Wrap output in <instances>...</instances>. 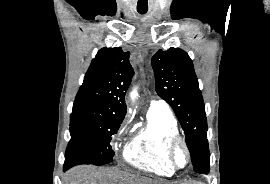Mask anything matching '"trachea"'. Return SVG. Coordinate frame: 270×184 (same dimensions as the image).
Returning a JSON list of instances; mask_svg holds the SVG:
<instances>
[{"label": "trachea", "instance_id": "trachea-1", "mask_svg": "<svg viewBox=\"0 0 270 184\" xmlns=\"http://www.w3.org/2000/svg\"><path fill=\"white\" fill-rule=\"evenodd\" d=\"M137 11H138V13H140V14H145V13L147 12V10H140V9H138Z\"/></svg>", "mask_w": 270, "mask_h": 184}]
</instances>
